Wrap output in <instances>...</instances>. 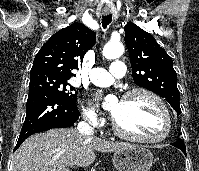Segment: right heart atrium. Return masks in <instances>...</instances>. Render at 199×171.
Segmentation results:
<instances>
[{
    "mask_svg": "<svg viewBox=\"0 0 199 171\" xmlns=\"http://www.w3.org/2000/svg\"><path fill=\"white\" fill-rule=\"evenodd\" d=\"M81 113L84 121L92 127L100 128L105 123V119L100 117L96 110L91 106L82 105Z\"/></svg>",
    "mask_w": 199,
    "mask_h": 171,
    "instance_id": "1",
    "label": "right heart atrium"
}]
</instances>
